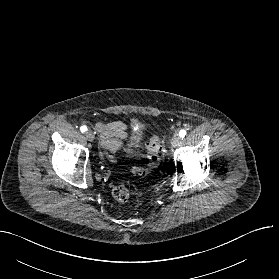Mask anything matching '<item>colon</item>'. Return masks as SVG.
<instances>
[{"label": "colon", "mask_w": 279, "mask_h": 279, "mask_svg": "<svg viewBox=\"0 0 279 279\" xmlns=\"http://www.w3.org/2000/svg\"><path fill=\"white\" fill-rule=\"evenodd\" d=\"M161 151V140L157 136L151 137L147 144V167L134 166L131 168V172L138 176H144L151 170L155 169L159 165V153ZM112 194L117 201L127 202L135 194V192L125 185H118L113 188Z\"/></svg>", "instance_id": "1"}]
</instances>
